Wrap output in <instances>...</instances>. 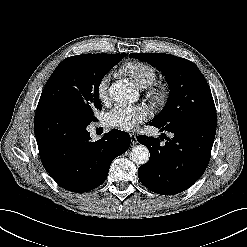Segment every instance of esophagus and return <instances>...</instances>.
Listing matches in <instances>:
<instances>
[{"mask_svg": "<svg viewBox=\"0 0 247 247\" xmlns=\"http://www.w3.org/2000/svg\"><path fill=\"white\" fill-rule=\"evenodd\" d=\"M131 141L133 145H136L138 143L137 136L135 133H130Z\"/></svg>", "mask_w": 247, "mask_h": 247, "instance_id": "34e87169", "label": "esophagus"}]
</instances>
